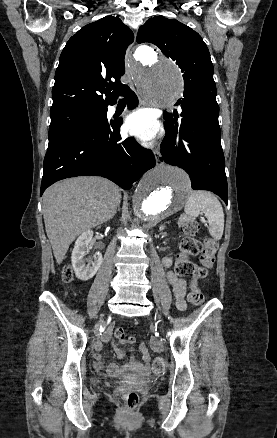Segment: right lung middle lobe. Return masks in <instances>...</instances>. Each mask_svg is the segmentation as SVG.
<instances>
[{"instance_id":"dd1d6c3e","label":"right lung middle lobe","mask_w":277,"mask_h":438,"mask_svg":"<svg viewBox=\"0 0 277 438\" xmlns=\"http://www.w3.org/2000/svg\"><path fill=\"white\" fill-rule=\"evenodd\" d=\"M103 110L97 108H81L63 112L50 113L49 141L58 136L86 125H100Z\"/></svg>"}]
</instances>
